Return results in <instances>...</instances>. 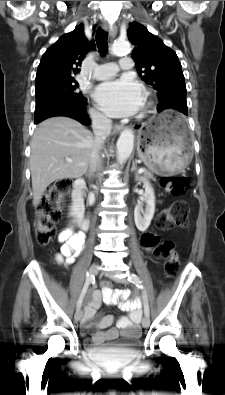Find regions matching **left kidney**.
<instances>
[{"label": "left kidney", "instance_id": "obj_1", "mask_svg": "<svg viewBox=\"0 0 225 395\" xmlns=\"http://www.w3.org/2000/svg\"><path fill=\"white\" fill-rule=\"evenodd\" d=\"M145 185V193L143 202L146 203L145 210L141 205H137L134 209V220L139 231H145L149 227L155 212V195L154 190L149 182L143 178H137Z\"/></svg>", "mask_w": 225, "mask_h": 395}]
</instances>
